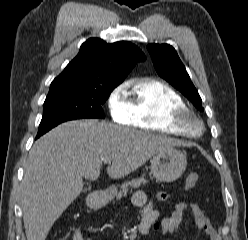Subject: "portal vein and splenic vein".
<instances>
[{
    "label": "portal vein and splenic vein",
    "mask_w": 248,
    "mask_h": 240,
    "mask_svg": "<svg viewBox=\"0 0 248 240\" xmlns=\"http://www.w3.org/2000/svg\"><path fill=\"white\" fill-rule=\"evenodd\" d=\"M104 163H108V164H110L111 163V160H104Z\"/></svg>",
    "instance_id": "1"
}]
</instances>
